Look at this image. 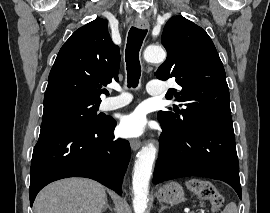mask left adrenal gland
Wrapping results in <instances>:
<instances>
[{
    "mask_svg": "<svg viewBox=\"0 0 270 213\" xmlns=\"http://www.w3.org/2000/svg\"><path fill=\"white\" fill-rule=\"evenodd\" d=\"M166 207L161 204V208L159 210V213H161Z\"/></svg>",
    "mask_w": 270,
    "mask_h": 213,
    "instance_id": "obj_1",
    "label": "left adrenal gland"
}]
</instances>
